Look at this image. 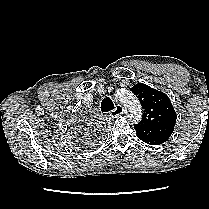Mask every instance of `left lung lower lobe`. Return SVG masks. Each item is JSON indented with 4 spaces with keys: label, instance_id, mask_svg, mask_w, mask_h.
I'll return each mask as SVG.
<instances>
[{
    "label": "left lung lower lobe",
    "instance_id": "1",
    "mask_svg": "<svg viewBox=\"0 0 209 209\" xmlns=\"http://www.w3.org/2000/svg\"><path fill=\"white\" fill-rule=\"evenodd\" d=\"M140 138V137H139ZM143 142L150 144V145H160L162 143H164L165 141L161 140V139H144V138H140Z\"/></svg>",
    "mask_w": 209,
    "mask_h": 209
}]
</instances>
